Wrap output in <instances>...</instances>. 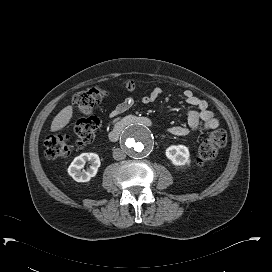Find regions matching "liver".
<instances>
[{"label": "liver", "mask_w": 272, "mask_h": 272, "mask_svg": "<svg viewBox=\"0 0 272 272\" xmlns=\"http://www.w3.org/2000/svg\"><path fill=\"white\" fill-rule=\"evenodd\" d=\"M73 115V108L71 105L63 108L53 119L51 124V131H58L64 128L70 121Z\"/></svg>", "instance_id": "6515ba94"}]
</instances>
